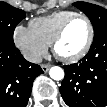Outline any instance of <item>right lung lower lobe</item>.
<instances>
[{
	"instance_id": "98d812e1",
	"label": "right lung lower lobe",
	"mask_w": 107,
	"mask_h": 107,
	"mask_svg": "<svg viewBox=\"0 0 107 107\" xmlns=\"http://www.w3.org/2000/svg\"><path fill=\"white\" fill-rule=\"evenodd\" d=\"M41 67L24 59L16 47L0 44V107H25Z\"/></svg>"
}]
</instances>
